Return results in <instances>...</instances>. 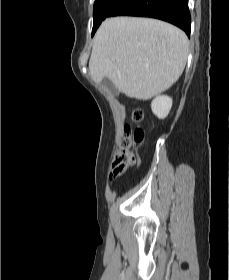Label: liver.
I'll return each instance as SVG.
<instances>
[{
  "label": "liver",
  "mask_w": 229,
  "mask_h": 280,
  "mask_svg": "<svg viewBox=\"0 0 229 280\" xmlns=\"http://www.w3.org/2000/svg\"><path fill=\"white\" fill-rule=\"evenodd\" d=\"M188 48L186 34L169 23L114 17L96 32L89 72L96 84L106 77L127 97L145 101L179 79Z\"/></svg>",
  "instance_id": "6515ba94"
}]
</instances>
